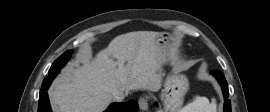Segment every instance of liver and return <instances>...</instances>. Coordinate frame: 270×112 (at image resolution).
Returning <instances> with one entry per match:
<instances>
[{
	"mask_svg": "<svg viewBox=\"0 0 270 112\" xmlns=\"http://www.w3.org/2000/svg\"><path fill=\"white\" fill-rule=\"evenodd\" d=\"M154 31L115 37L95 57L81 56V65L67 70L49 92L57 112H102L114 94L130 90L157 91L161 83L159 47Z\"/></svg>",
	"mask_w": 270,
	"mask_h": 112,
	"instance_id": "liver-1",
	"label": "liver"
}]
</instances>
